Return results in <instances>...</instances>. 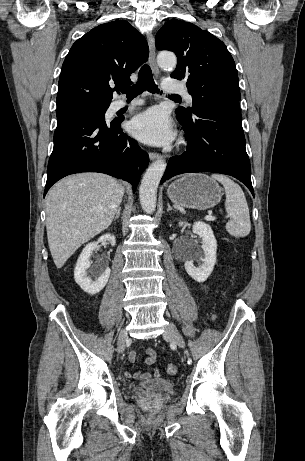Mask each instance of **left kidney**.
Here are the masks:
<instances>
[{
    "label": "left kidney",
    "mask_w": 305,
    "mask_h": 461,
    "mask_svg": "<svg viewBox=\"0 0 305 461\" xmlns=\"http://www.w3.org/2000/svg\"><path fill=\"white\" fill-rule=\"evenodd\" d=\"M183 224L184 222L179 223L180 226ZM192 230L194 234L202 238V246L199 249L195 244L187 245L188 258L191 259L193 255L199 254L203 263L200 267H195L192 259L186 260L184 267L188 275L195 281L202 283L210 276L216 264L217 241L212 228L204 222H195Z\"/></svg>",
    "instance_id": "5707ae66"
}]
</instances>
